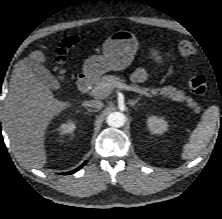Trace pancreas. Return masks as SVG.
<instances>
[{
    "instance_id": "pancreas-1",
    "label": "pancreas",
    "mask_w": 222,
    "mask_h": 219,
    "mask_svg": "<svg viewBox=\"0 0 222 219\" xmlns=\"http://www.w3.org/2000/svg\"><path fill=\"white\" fill-rule=\"evenodd\" d=\"M124 82L125 80H121L119 77L113 75H105L94 85L91 93L96 98H104L107 94H110L112 88H114L117 83L124 84ZM132 87L135 88L136 92L147 97L161 94L164 98L172 99L175 102H186L187 106L192 108L195 113H199L201 111V108L192 98L185 96V93L182 90H177L172 86L149 89L134 84ZM148 91H150L151 93H149Z\"/></svg>"
}]
</instances>
